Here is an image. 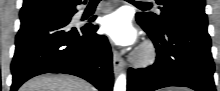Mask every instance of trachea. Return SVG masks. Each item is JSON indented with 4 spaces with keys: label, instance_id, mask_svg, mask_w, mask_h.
I'll list each match as a JSON object with an SVG mask.
<instances>
[{
    "label": "trachea",
    "instance_id": "1",
    "mask_svg": "<svg viewBox=\"0 0 220 91\" xmlns=\"http://www.w3.org/2000/svg\"><path fill=\"white\" fill-rule=\"evenodd\" d=\"M94 1V0H91ZM128 2L138 6V7H151V4L145 3V2H138V1H133V0H127Z\"/></svg>",
    "mask_w": 220,
    "mask_h": 91
}]
</instances>
